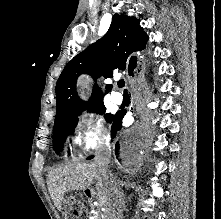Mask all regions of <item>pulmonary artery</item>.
I'll use <instances>...</instances> for the list:
<instances>
[{"label": "pulmonary artery", "mask_w": 221, "mask_h": 219, "mask_svg": "<svg viewBox=\"0 0 221 219\" xmlns=\"http://www.w3.org/2000/svg\"><path fill=\"white\" fill-rule=\"evenodd\" d=\"M111 100L115 104H121L123 101V96L119 92H113L110 96Z\"/></svg>", "instance_id": "1"}]
</instances>
